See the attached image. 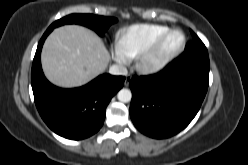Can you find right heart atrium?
Returning <instances> with one entry per match:
<instances>
[{
  "instance_id": "obj_1",
  "label": "right heart atrium",
  "mask_w": 248,
  "mask_h": 165,
  "mask_svg": "<svg viewBox=\"0 0 248 165\" xmlns=\"http://www.w3.org/2000/svg\"><path fill=\"white\" fill-rule=\"evenodd\" d=\"M113 57L114 60L121 65L126 64L128 62V58L118 49L117 46L113 51Z\"/></svg>"
}]
</instances>
